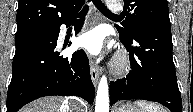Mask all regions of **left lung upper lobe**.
<instances>
[{"mask_svg": "<svg viewBox=\"0 0 193 112\" xmlns=\"http://www.w3.org/2000/svg\"><path fill=\"white\" fill-rule=\"evenodd\" d=\"M123 18L116 28L126 40L147 28L170 25L167 0H124Z\"/></svg>", "mask_w": 193, "mask_h": 112, "instance_id": "obj_1", "label": "left lung upper lobe"}]
</instances>
